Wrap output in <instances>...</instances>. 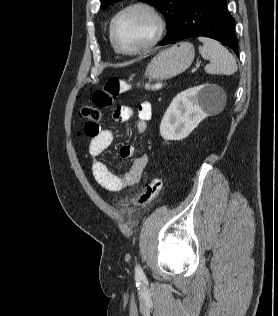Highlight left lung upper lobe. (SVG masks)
I'll return each instance as SVG.
<instances>
[{
    "mask_svg": "<svg viewBox=\"0 0 278 316\" xmlns=\"http://www.w3.org/2000/svg\"><path fill=\"white\" fill-rule=\"evenodd\" d=\"M121 1V0H101V8H106L110 4ZM147 2L157 9H159L166 19L168 31L166 37H168L174 30L181 10L186 2V0H141ZM165 37V38H166Z\"/></svg>",
    "mask_w": 278,
    "mask_h": 316,
    "instance_id": "1",
    "label": "left lung upper lobe"
}]
</instances>
